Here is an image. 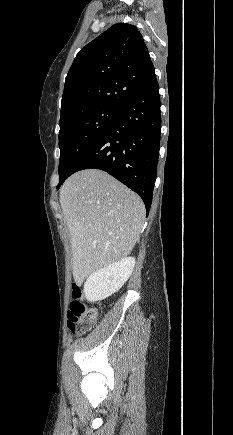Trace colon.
Segmentation results:
<instances>
[{
	"mask_svg": "<svg viewBox=\"0 0 233 435\" xmlns=\"http://www.w3.org/2000/svg\"><path fill=\"white\" fill-rule=\"evenodd\" d=\"M96 308L87 307L83 302V287L74 283L71 292V307L69 311V329L72 335L81 336L91 331L98 319Z\"/></svg>",
	"mask_w": 233,
	"mask_h": 435,
	"instance_id": "obj_1",
	"label": "colon"
}]
</instances>
